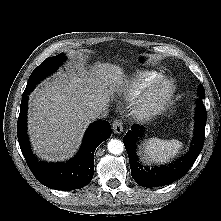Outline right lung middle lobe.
<instances>
[{"label":"right lung middle lobe","instance_id":"dd1d6c3e","mask_svg":"<svg viewBox=\"0 0 221 221\" xmlns=\"http://www.w3.org/2000/svg\"><path fill=\"white\" fill-rule=\"evenodd\" d=\"M64 60V55L59 54L47 58L40 66H38L30 75L24 92H30L33 88L46 76L51 74Z\"/></svg>","mask_w":221,"mask_h":221}]
</instances>
